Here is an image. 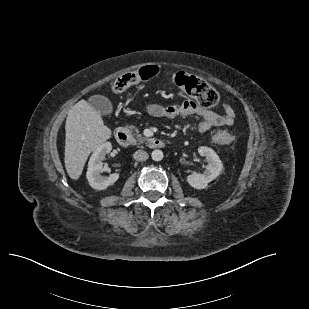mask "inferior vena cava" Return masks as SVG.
I'll return each mask as SVG.
<instances>
[{
  "label": "inferior vena cava",
  "instance_id": "inferior-vena-cava-1",
  "mask_svg": "<svg viewBox=\"0 0 309 309\" xmlns=\"http://www.w3.org/2000/svg\"><path fill=\"white\" fill-rule=\"evenodd\" d=\"M148 153L144 150H137L134 153V159L136 161H146L148 159Z\"/></svg>",
  "mask_w": 309,
  "mask_h": 309
}]
</instances>
